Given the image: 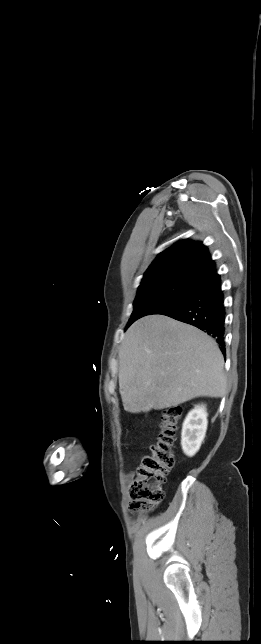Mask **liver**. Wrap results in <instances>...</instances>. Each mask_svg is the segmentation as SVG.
Instances as JSON below:
<instances>
[{
  "label": "liver",
  "instance_id": "6515ba94",
  "mask_svg": "<svg viewBox=\"0 0 261 644\" xmlns=\"http://www.w3.org/2000/svg\"><path fill=\"white\" fill-rule=\"evenodd\" d=\"M119 359V390L124 410L130 413L226 394L224 358L217 343L164 315L145 316L132 324Z\"/></svg>",
  "mask_w": 261,
  "mask_h": 644
}]
</instances>
